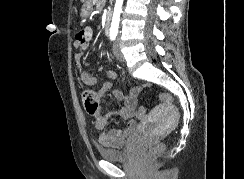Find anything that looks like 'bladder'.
I'll return each instance as SVG.
<instances>
[{"label": "bladder", "instance_id": "1", "mask_svg": "<svg viewBox=\"0 0 244 179\" xmlns=\"http://www.w3.org/2000/svg\"><path fill=\"white\" fill-rule=\"evenodd\" d=\"M130 152L131 149L128 146L123 149H98L99 156L110 161L126 159Z\"/></svg>", "mask_w": 244, "mask_h": 179}]
</instances>
